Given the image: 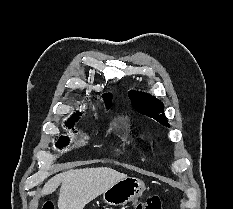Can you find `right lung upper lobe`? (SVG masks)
Here are the masks:
<instances>
[{
  "mask_svg": "<svg viewBox=\"0 0 233 209\" xmlns=\"http://www.w3.org/2000/svg\"><path fill=\"white\" fill-rule=\"evenodd\" d=\"M104 100H105L106 107L108 108L112 100V95L110 93L104 94ZM76 114H80V113L77 112Z\"/></svg>",
  "mask_w": 233,
  "mask_h": 209,
  "instance_id": "right-lung-upper-lobe-1",
  "label": "right lung upper lobe"
}]
</instances>
